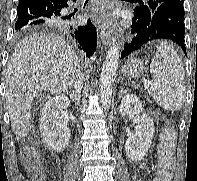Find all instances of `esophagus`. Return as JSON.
Wrapping results in <instances>:
<instances>
[{
	"label": "esophagus",
	"instance_id": "34e87169",
	"mask_svg": "<svg viewBox=\"0 0 197 181\" xmlns=\"http://www.w3.org/2000/svg\"><path fill=\"white\" fill-rule=\"evenodd\" d=\"M109 8L110 0H105L104 5L101 9V19L98 21L100 38L104 46L110 44L113 34V19L108 15Z\"/></svg>",
	"mask_w": 197,
	"mask_h": 181
}]
</instances>
